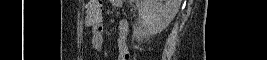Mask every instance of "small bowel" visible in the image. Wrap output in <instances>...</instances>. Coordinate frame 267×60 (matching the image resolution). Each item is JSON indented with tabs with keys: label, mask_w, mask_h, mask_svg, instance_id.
Listing matches in <instances>:
<instances>
[{
	"label": "small bowel",
	"mask_w": 267,
	"mask_h": 60,
	"mask_svg": "<svg viewBox=\"0 0 267 60\" xmlns=\"http://www.w3.org/2000/svg\"><path fill=\"white\" fill-rule=\"evenodd\" d=\"M112 3L116 6H120L123 1L122 0H113ZM103 32H104V25H103V17L101 22L97 26H91V45L92 48L99 52L102 50L103 47ZM129 32V23L127 20L123 19L119 22L118 25V53H117V60H128L129 59V50L126 44V36Z\"/></svg>",
	"instance_id": "small-bowel-1"
}]
</instances>
